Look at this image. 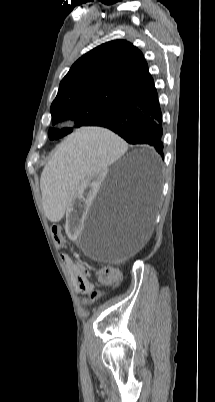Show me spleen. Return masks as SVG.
I'll use <instances>...</instances> for the list:
<instances>
[{"label":"spleen","instance_id":"3e777b00","mask_svg":"<svg viewBox=\"0 0 215 402\" xmlns=\"http://www.w3.org/2000/svg\"><path fill=\"white\" fill-rule=\"evenodd\" d=\"M125 149L123 141L110 128H76L75 134L59 144L41 178L44 208L50 220H59L67 208L73 186L98 169L115 161Z\"/></svg>","mask_w":215,"mask_h":402}]
</instances>
